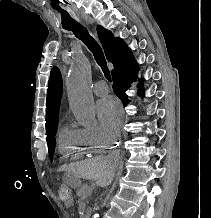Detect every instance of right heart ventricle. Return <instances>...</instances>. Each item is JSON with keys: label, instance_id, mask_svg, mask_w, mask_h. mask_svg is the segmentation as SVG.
Returning a JSON list of instances; mask_svg holds the SVG:
<instances>
[{"label": "right heart ventricle", "instance_id": "obj_1", "mask_svg": "<svg viewBox=\"0 0 211 218\" xmlns=\"http://www.w3.org/2000/svg\"><path fill=\"white\" fill-rule=\"evenodd\" d=\"M105 147L87 143L80 135L78 129L63 127L59 132L57 148L60 151V157H67V162H74V157L79 158L103 152Z\"/></svg>", "mask_w": 211, "mask_h": 218}]
</instances>
